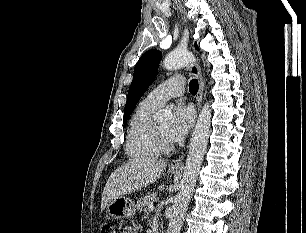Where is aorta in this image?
<instances>
[{
    "label": "aorta",
    "instance_id": "obj_1",
    "mask_svg": "<svg viewBox=\"0 0 306 233\" xmlns=\"http://www.w3.org/2000/svg\"><path fill=\"white\" fill-rule=\"evenodd\" d=\"M194 61L192 53L187 50H175L164 59V67L167 70H177ZM170 117L166 111L157 114L159 122H164ZM211 126V109L206 103L194 127L186 159V166L180 182V190L175 196L173 213L169 221L167 233H180L184 217L193 195L202 160L206 151Z\"/></svg>",
    "mask_w": 306,
    "mask_h": 233
}]
</instances>
